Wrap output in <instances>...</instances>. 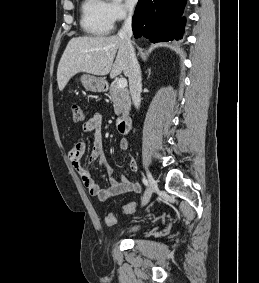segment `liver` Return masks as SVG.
Masks as SVG:
<instances>
[{"instance_id":"1","label":"liver","mask_w":259,"mask_h":283,"mask_svg":"<svg viewBox=\"0 0 259 283\" xmlns=\"http://www.w3.org/2000/svg\"><path fill=\"white\" fill-rule=\"evenodd\" d=\"M115 56L116 60L113 63ZM80 72L97 76H105L110 73L111 78L123 72L125 76H128L129 52L124 39L118 35L72 38L58 65L59 90L62 91L69 79Z\"/></svg>"}]
</instances>
